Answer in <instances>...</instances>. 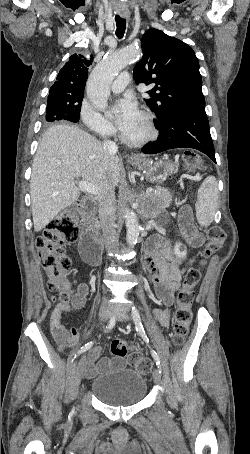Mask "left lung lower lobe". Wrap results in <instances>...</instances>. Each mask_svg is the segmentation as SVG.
<instances>
[{
    "instance_id": "left-lung-lower-lobe-1",
    "label": "left lung lower lobe",
    "mask_w": 250,
    "mask_h": 454,
    "mask_svg": "<svg viewBox=\"0 0 250 454\" xmlns=\"http://www.w3.org/2000/svg\"><path fill=\"white\" fill-rule=\"evenodd\" d=\"M160 134L155 142L142 147L145 154H156L173 148H194L214 162L215 153L205 108L188 109L174 113L162 124L156 125Z\"/></svg>"
}]
</instances>
